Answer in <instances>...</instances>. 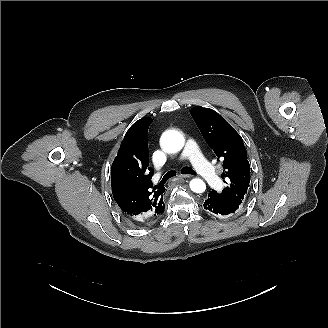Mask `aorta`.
Masks as SVG:
<instances>
[{"label": "aorta", "mask_w": 328, "mask_h": 328, "mask_svg": "<svg viewBox=\"0 0 328 328\" xmlns=\"http://www.w3.org/2000/svg\"><path fill=\"white\" fill-rule=\"evenodd\" d=\"M185 140L181 133L169 130L161 136V145L167 152H178L184 146ZM190 189L195 193H203L206 189L204 181L195 178L190 181Z\"/></svg>", "instance_id": "762f6f07"}]
</instances>
